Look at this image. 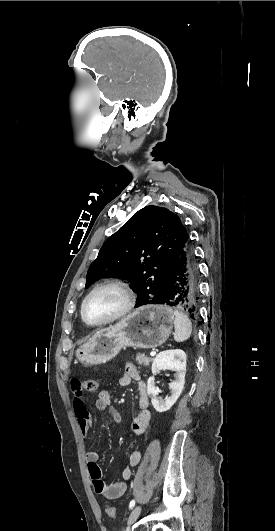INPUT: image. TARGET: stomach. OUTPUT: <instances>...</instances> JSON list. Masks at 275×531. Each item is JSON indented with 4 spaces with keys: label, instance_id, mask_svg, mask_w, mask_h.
I'll return each mask as SVG.
<instances>
[{
    "label": "stomach",
    "instance_id": "stomach-1",
    "mask_svg": "<svg viewBox=\"0 0 275 531\" xmlns=\"http://www.w3.org/2000/svg\"><path fill=\"white\" fill-rule=\"evenodd\" d=\"M174 315L170 301H143L141 307L116 325L97 331L75 353L76 361L89 365H102L118 355L123 347L155 349L171 335Z\"/></svg>",
    "mask_w": 275,
    "mask_h": 531
}]
</instances>
